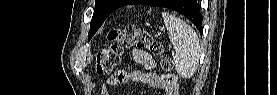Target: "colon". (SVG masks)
<instances>
[{"mask_svg": "<svg viewBox=\"0 0 277 95\" xmlns=\"http://www.w3.org/2000/svg\"><path fill=\"white\" fill-rule=\"evenodd\" d=\"M110 45L99 51L96 61V73L98 75H109L119 65L124 49L135 48L149 51L159 57L162 73L161 78L167 77L173 68L172 59L164 54L162 44L157 41L148 31L134 25L119 29H112L108 33Z\"/></svg>", "mask_w": 277, "mask_h": 95, "instance_id": "1", "label": "colon"}]
</instances>
